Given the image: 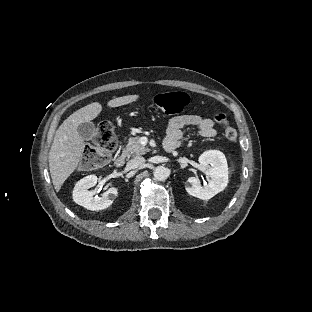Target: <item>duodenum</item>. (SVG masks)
Returning a JSON list of instances; mask_svg holds the SVG:
<instances>
[{"instance_id": "duodenum-1", "label": "duodenum", "mask_w": 312, "mask_h": 312, "mask_svg": "<svg viewBox=\"0 0 312 312\" xmlns=\"http://www.w3.org/2000/svg\"><path fill=\"white\" fill-rule=\"evenodd\" d=\"M164 148L168 152H174L177 149L176 145H172V144H164ZM126 159H127V154L125 152H120L114 159V165L117 168H122L124 167L126 163Z\"/></svg>"}]
</instances>
